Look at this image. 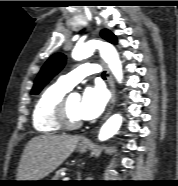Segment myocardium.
Returning a JSON list of instances; mask_svg holds the SVG:
<instances>
[{"label":"myocardium","mask_w":178,"mask_h":186,"mask_svg":"<svg viewBox=\"0 0 178 186\" xmlns=\"http://www.w3.org/2000/svg\"><path fill=\"white\" fill-rule=\"evenodd\" d=\"M68 96L64 95L54 108L53 118L57 125L64 130H76L83 126L84 122L72 120L67 107Z\"/></svg>","instance_id":"obj_1"}]
</instances>
